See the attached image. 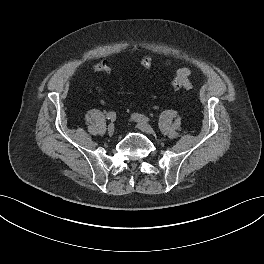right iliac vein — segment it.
Wrapping results in <instances>:
<instances>
[{
	"instance_id": "1",
	"label": "right iliac vein",
	"mask_w": 264,
	"mask_h": 264,
	"mask_svg": "<svg viewBox=\"0 0 264 264\" xmlns=\"http://www.w3.org/2000/svg\"><path fill=\"white\" fill-rule=\"evenodd\" d=\"M114 129H115L114 124L111 123L108 125V133L110 135L114 133Z\"/></svg>"
}]
</instances>
